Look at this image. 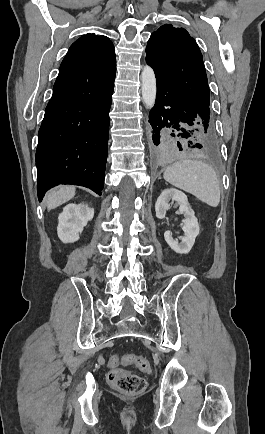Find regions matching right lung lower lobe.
Here are the masks:
<instances>
[{
  "mask_svg": "<svg viewBox=\"0 0 265 434\" xmlns=\"http://www.w3.org/2000/svg\"><path fill=\"white\" fill-rule=\"evenodd\" d=\"M116 71L115 52L69 49L39 129L37 192L58 184L101 195Z\"/></svg>",
  "mask_w": 265,
  "mask_h": 434,
  "instance_id": "1",
  "label": "right lung lower lobe"
}]
</instances>
